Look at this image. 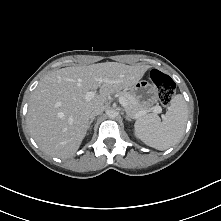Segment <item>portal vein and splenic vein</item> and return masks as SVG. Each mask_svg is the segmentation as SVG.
<instances>
[{"label": "portal vein and splenic vein", "mask_w": 221, "mask_h": 221, "mask_svg": "<svg viewBox=\"0 0 221 221\" xmlns=\"http://www.w3.org/2000/svg\"><path fill=\"white\" fill-rule=\"evenodd\" d=\"M101 81H102V80H101ZM94 96H95V92L89 91V92H87V93L85 94V99H86V100H91L92 98H94ZM118 100H119V103H120L123 107H126V106H127V100H126L125 98L119 97ZM151 111H153V112H155V113H160V112L162 111V109H161L160 106H154V107H152V108H150V109H148V110H146V111H141V112H139L138 115H137V117H141V116H143L144 114H146V113H148V112H151Z\"/></svg>", "instance_id": "obj_1"}]
</instances>
